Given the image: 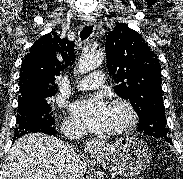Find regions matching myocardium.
Here are the masks:
<instances>
[{"label":"myocardium","mask_w":183,"mask_h":179,"mask_svg":"<svg viewBox=\"0 0 183 179\" xmlns=\"http://www.w3.org/2000/svg\"><path fill=\"white\" fill-rule=\"evenodd\" d=\"M111 107H120L123 108L127 114L126 121L115 128H112L108 131L110 135H120L132 131L138 122V114L131 102L126 99L118 98L110 102Z\"/></svg>","instance_id":"f54148a6"}]
</instances>
